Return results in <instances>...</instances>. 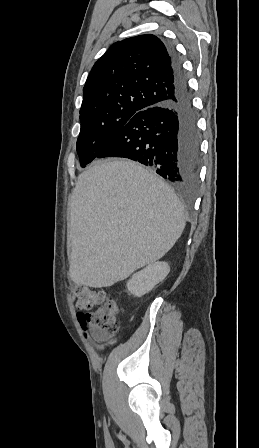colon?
I'll use <instances>...</instances> for the list:
<instances>
[{
  "mask_svg": "<svg viewBox=\"0 0 259 448\" xmlns=\"http://www.w3.org/2000/svg\"><path fill=\"white\" fill-rule=\"evenodd\" d=\"M81 326L98 341H107L118 331L117 317L122 312L120 304L105 291L79 285L74 290Z\"/></svg>",
  "mask_w": 259,
  "mask_h": 448,
  "instance_id": "obj_1",
  "label": "colon"
}]
</instances>
